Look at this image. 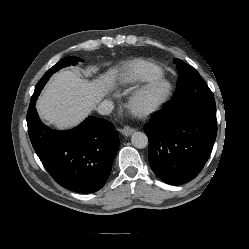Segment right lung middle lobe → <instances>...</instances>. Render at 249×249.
<instances>
[{
	"mask_svg": "<svg viewBox=\"0 0 249 249\" xmlns=\"http://www.w3.org/2000/svg\"><path fill=\"white\" fill-rule=\"evenodd\" d=\"M78 61H81L80 58H77L75 56H69L66 57L64 59H62L61 61H59L56 65H54L51 69H49L44 76L40 79V81L37 83L36 85V90H42V88L44 87L45 83L48 81V79L50 78V76L56 72L57 70L66 67V66H70V65H75Z\"/></svg>",
	"mask_w": 249,
	"mask_h": 249,
	"instance_id": "1",
	"label": "right lung middle lobe"
}]
</instances>
